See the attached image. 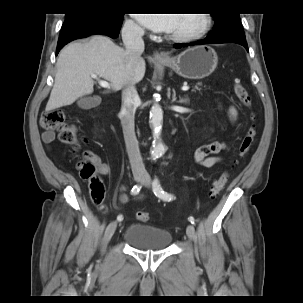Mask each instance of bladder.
Here are the masks:
<instances>
[{
	"label": "bladder",
	"instance_id": "1",
	"mask_svg": "<svg viewBox=\"0 0 303 303\" xmlns=\"http://www.w3.org/2000/svg\"><path fill=\"white\" fill-rule=\"evenodd\" d=\"M172 240L171 234L151 225L135 223L128 226L124 233V241L142 250H161Z\"/></svg>",
	"mask_w": 303,
	"mask_h": 303
}]
</instances>
